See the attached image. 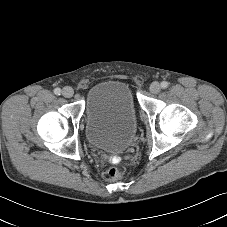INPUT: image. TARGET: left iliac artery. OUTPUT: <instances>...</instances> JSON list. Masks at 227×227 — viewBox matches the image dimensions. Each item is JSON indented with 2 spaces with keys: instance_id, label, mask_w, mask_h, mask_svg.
Returning a JSON list of instances; mask_svg holds the SVG:
<instances>
[{
  "instance_id": "left-iliac-artery-1",
  "label": "left iliac artery",
  "mask_w": 227,
  "mask_h": 227,
  "mask_svg": "<svg viewBox=\"0 0 227 227\" xmlns=\"http://www.w3.org/2000/svg\"><path fill=\"white\" fill-rule=\"evenodd\" d=\"M168 82H166V81H162L161 82V87L163 88V89H165V88H167L168 87Z\"/></svg>"
}]
</instances>
